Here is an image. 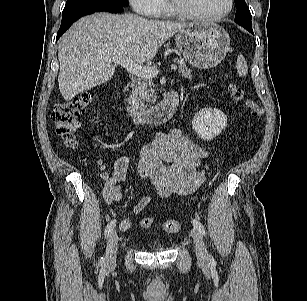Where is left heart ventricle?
<instances>
[{
    "label": "left heart ventricle",
    "mask_w": 307,
    "mask_h": 301,
    "mask_svg": "<svg viewBox=\"0 0 307 301\" xmlns=\"http://www.w3.org/2000/svg\"><path fill=\"white\" fill-rule=\"evenodd\" d=\"M193 13L215 15L228 8L229 0H176Z\"/></svg>",
    "instance_id": "obj_1"
}]
</instances>
